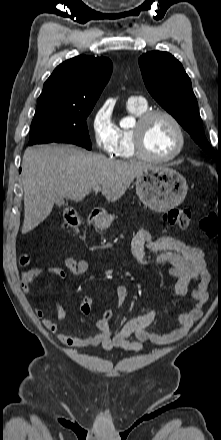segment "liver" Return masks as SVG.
I'll return each instance as SVG.
<instances>
[{
  "mask_svg": "<svg viewBox=\"0 0 221 440\" xmlns=\"http://www.w3.org/2000/svg\"><path fill=\"white\" fill-rule=\"evenodd\" d=\"M152 165L106 158L68 145L29 147L23 155L24 223L22 234L36 228L64 198L82 201L101 186L108 202L119 200L133 180Z\"/></svg>",
  "mask_w": 221,
  "mask_h": 440,
  "instance_id": "1",
  "label": "liver"
}]
</instances>
